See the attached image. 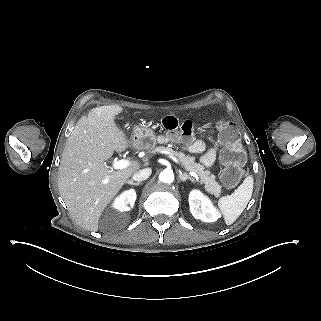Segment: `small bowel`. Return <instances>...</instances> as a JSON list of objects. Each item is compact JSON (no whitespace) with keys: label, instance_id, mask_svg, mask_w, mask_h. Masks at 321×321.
<instances>
[{"label":"small bowel","instance_id":"small-bowel-1","mask_svg":"<svg viewBox=\"0 0 321 321\" xmlns=\"http://www.w3.org/2000/svg\"><path fill=\"white\" fill-rule=\"evenodd\" d=\"M188 150L191 153H201L205 150V145L202 141H194L188 146ZM217 147H213L208 150L202 157L201 161L205 166H210L213 164L216 158Z\"/></svg>","mask_w":321,"mask_h":321}]
</instances>
